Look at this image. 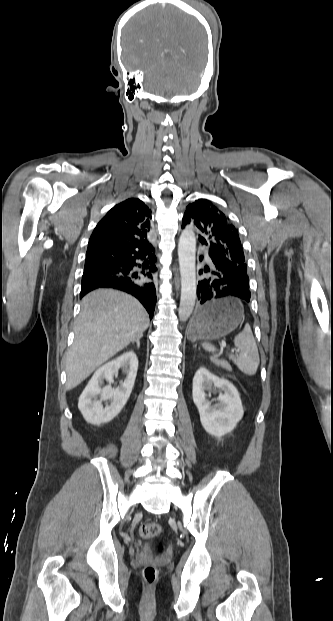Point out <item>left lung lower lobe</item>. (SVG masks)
Segmentation results:
<instances>
[{
  "label": "left lung lower lobe",
  "mask_w": 333,
  "mask_h": 621,
  "mask_svg": "<svg viewBox=\"0 0 333 621\" xmlns=\"http://www.w3.org/2000/svg\"><path fill=\"white\" fill-rule=\"evenodd\" d=\"M200 242L207 245L203 240ZM206 257L211 267L206 266L199 271V274H208L198 281L197 296L200 303L227 296H235L249 302L251 292L247 269L236 266L229 258L212 249H209ZM202 259L203 257L200 260Z\"/></svg>",
  "instance_id": "0a47b994"
}]
</instances>
